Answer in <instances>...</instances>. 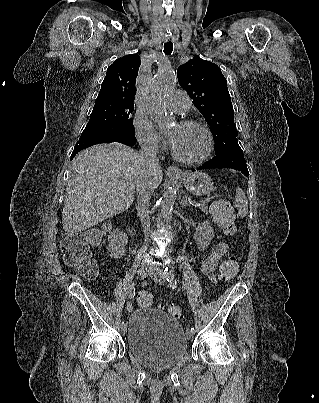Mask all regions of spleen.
Masks as SVG:
<instances>
[{"label":"spleen","mask_w":319,"mask_h":403,"mask_svg":"<svg viewBox=\"0 0 319 403\" xmlns=\"http://www.w3.org/2000/svg\"><path fill=\"white\" fill-rule=\"evenodd\" d=\"M235 205L238 207V215L245 217L248 214V200L240 187L236 188Z\"/></svg>","instance_id":"spleen-1"}]
</instances>
